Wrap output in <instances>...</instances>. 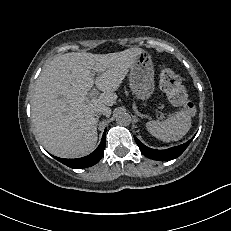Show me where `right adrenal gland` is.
I'll return each mask as SVG.
<instances>
[{
    "mask_svg": "<svg viewBox=\"0 0 231 231\" xmlns=\"http://www.w3.org/2000/svg\"><path fill=\"white\" fill-rule=\"evenodd\" d=\"M99 118H100V116H99V115H98V116H96L97 123H98V121H99Z\"/></svg>",
    "mask_w": 231,
    "mask_h": 231,
    "instance_id": "2a0ac1e0",
    "label": "right adrenal gland"
}]
</instances>
